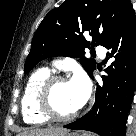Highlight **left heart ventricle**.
Instances as JSON below:
<instances>
[{
  "mask_svg": "<svg viewBox=\"0 0 136 136\" xmlns=\"http://www.w3.org/2000/svg\"><path fill=\"white\" fill-rule=\"evenodd\" d=\"M51 105L58 115H68L78 109L69 81L57 83L53 87Z\"/></svg>",
  "mask_w": 136,
  "mask_h": 136,
  "instance_id": "obj_1",
  "label": "left heart ventricle"
}]
</instances>
